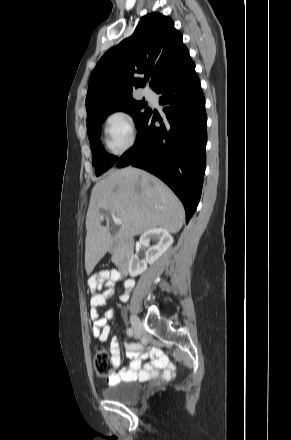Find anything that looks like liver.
Instances as JSON below:
<instances>
[{
    "mask_svg": "<svg viewBox=\"0 0 291 440\" xmlns=\"http://www.w3.org/2000/svg\"><path fill=\"white\" fill-rule=\"evenodd\" d=\"M113 212L122 220L116 235L132 239L150 229L164 228L177 233L183 226L185 212L172 190L150 173L126 167L110 172L91 192L86 215L85 268L90 274L110 245L107 226H101L100 210Z\"/></svg>",
    "mask_w": 291,
    "mask_h": 440,
    "instance_id": "6515ba94",
    "label": "liver"
}]
</instances>
